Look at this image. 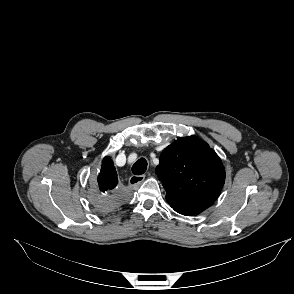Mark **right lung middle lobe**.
Masks as SVG:
<instances>
[{
    "instance_id": "dd1d6c3e",
    "label": "right lung middle lobe",
    "mask_w": 294,
    "mask_h": 294,
    "mask_svg": "<svg viewBox=\"0 0 294 294\" xmlns=\"http://www.w3.org/2000/svg\"><path fill=\"white\" fill-rule=\"evenodd\" d=\"M99 190H97V189L94 190L90 196V200H91L92 204L99 212H103V213L109 212L118 206V204L120 203V200H121L120 196L110 197L111 193L103 195V194H101L102 191L100 190L101 191L100 192ZM103 193H105V192H103Z\"/></svg>"
}]
</instances>
